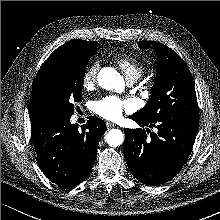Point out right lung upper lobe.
I'll return each instance as SVG.
<instances>
[{"label":"right lung upper lobe","instance_id":"cb5924a9","mask_svg":"<svg viewBox=\"0 0 220 220\" xmlns=\"http://www.w3.org/2000/svg\"><path fill=\"white\" fill-rule=\"evenodd\" d=\"M96 46H97L96 42H88V41L81 40V39L71 40L69 42L64 43L59 48H57L50 55V57L42 64V66L40 67V69L36 75V78L34 79V83H33V90H32V94H31L30 109H29V116H30L31 120L35 119L39 116L44 115L36 102L35 95H36L37 89L39 88V86L41 84L43 72H44L45 68L51 62H53L55 59H57L58 57H60L61 55L65 54L69 51H72L75 49H81V48H96Z\"/></svg>","mask_w":220,"mask_h":220}]
</instances>
